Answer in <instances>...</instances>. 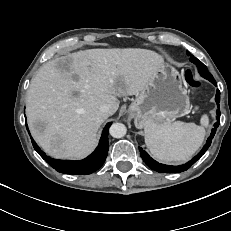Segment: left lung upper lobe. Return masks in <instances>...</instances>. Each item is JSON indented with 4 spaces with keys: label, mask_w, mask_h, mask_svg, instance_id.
<instances>
[{
    "label": "left lung upper lobe",
    "mask_w": 231,
    "mask_h": 231,
    "mask_svg": "<svg viewBox=\"0 0 231 231\" xmlns=\"http://www.w3.org/2000/svg\"><path fill=\"white\" fill-rule=\"evenodd\" d=\"M187 54L188 56L191 57L190 61L193 62L198 67V71L202 77L208 79L209 81L214 79L212 74L209 73L207 67L200 60H198L196 57L191 55L189 52H187Z\"/></svg>",
    "instance_id": "left-lung-upper-lobe-1"
}]
</instances>
